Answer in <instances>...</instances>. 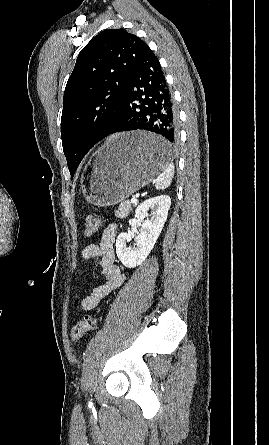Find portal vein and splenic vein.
I'll return each mask as SVG.
<instances>
[{"mask_svg":"<svg viewBox=\"0 0 269 445\" xmlns=\"http://www.w3.org/2000/svg\"><path fill=\"white\" fill-rule=\"evenodd\" d=\"M131 203L136 204L137 203V198L133 196L131 198Z\"/></svg>","mask_w":269,"mask_h":445,"instance_id":"18ae733b","label":"portal vein and splenic vein"}]
</instances>
